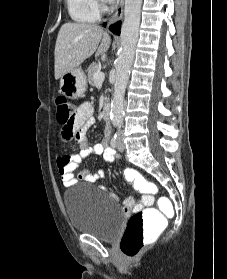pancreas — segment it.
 <instances>
[{"label": "pancreas", "mask_w": 227, "mask_h": 279, "mask_svg": "<svg viewBox=\"0 0 227 279\" xmlns=\"http://www.w3.org/2000/svg\"><path fill=\"white\" fill-rule=\"evenodd\" d=\"M100 67L97 63H92L89 67H88V81L91 85L95 84L94 81V73L96 71H99Z\"/></svg>", "instance_id": "pancreas-1"}]
</instances>
